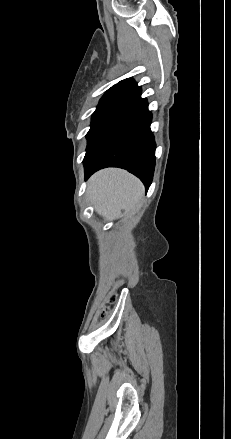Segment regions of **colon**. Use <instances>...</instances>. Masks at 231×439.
<instances>
[{
  "label": "colon",
  "instance_id": "obj_1",
  "mask_svg": "<svg viewBox=\"0 0 231 439\" xmlns=\"http://www.w3.org/2000/svg\"><path fill=\"white\" fill-rule=\"evenodd\" d=\"M116 300H117V296H116L115 294H113V295H111V296L109 297V303H110V304L115 303ZM108 310H109V307L106 306V307L104 308V312H103V313L106 314V313L108 312Z\"/></svg>",
  "mask_w": 231,
  "mask_h": 439
}]
</instances>
